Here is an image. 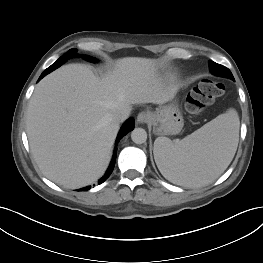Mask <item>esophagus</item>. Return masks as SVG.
<instances>
[{
    "label": "esophagus",
    "instance_id": "esophagus-1",
    "mask_svg": "<svg viewBox=\"0 0 263 263\" xmlns=\"http://www.w3.org/2000/svg\"><path fill=\"white\" fill-rule=\"evenodd\" d=\"M149 116H150V115H149L148 112L142 111V112H140V113L138 114V116H137V122H138V123H145V122L148 121Z\"/></svg>",
    "mask_w": 263,
    "mask_h": 263
}]
</instances>
